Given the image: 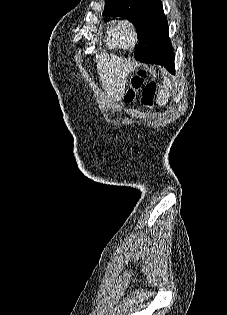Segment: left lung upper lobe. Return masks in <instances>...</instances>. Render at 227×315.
I'll return each mask as SVG.
<instances>
[{
	"mask_svg": "<svg viewBox=\"0 0 227 315\" xmlns=\"http://www.w3.org/2000/svg\"><path fill=\"white\" fill-rule=\"evenodd\" d=\"M103 15L130 19L139 42L155 38L162 50L173 54L161 0H106Z\"/></svg>",
	"mask_w": 227,
	"mask_h": 315,
	"instance_id": "left-lung-upper-lobe-1",
	"label": "left lung upper lobe"
}]
</instances>
